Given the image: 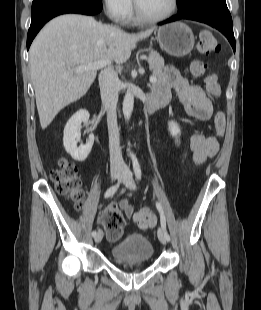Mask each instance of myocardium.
<instances>
[{
    "instance_id": "myocardium-1",
    "label": "myocardium",
    "mask_w": 261,
    "mask_h": 310,
    "mask_svg": "<svg viewBox=\"0 0 261 310\" xmlns=\"http://www.w3.org/2000/svg\"><path fill=\"white\" fill-rule=\"evenodd\" d=\"M177 8H178V0H171V6L166 13L160 16H156V17H149L141 12V10L139 9L138 5L136 4L134 0L135 16L137 20L142 23L154 24V23L165 21L169 19L172 15H174Z\"/></svg>"
}]
</instances>
